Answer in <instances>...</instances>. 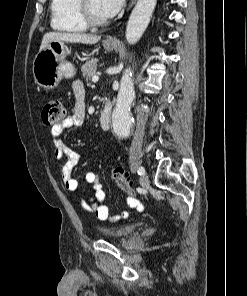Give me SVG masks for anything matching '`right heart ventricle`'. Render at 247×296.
<instances>
[{
	"label": "right heart ventricle",
	"instance_id": "1",
	"mask_svg": "<svg viewBox=\"0 0 247 296\" xmlns=\"http://www.w3.org/2000/svg\"><path fill=\"white\" fill-rule=\"evenodd\" d=\"M78 0H51L50 25L63 33H80L87 26L80 20L77 12Z\"/></svg>",
	"mask_w": 247,
	"mask_h": 296
}]
</instances>
